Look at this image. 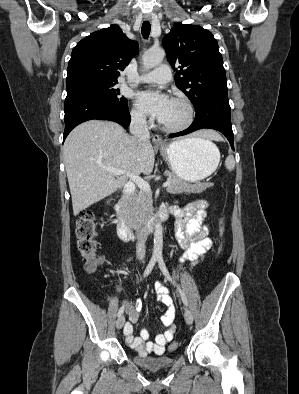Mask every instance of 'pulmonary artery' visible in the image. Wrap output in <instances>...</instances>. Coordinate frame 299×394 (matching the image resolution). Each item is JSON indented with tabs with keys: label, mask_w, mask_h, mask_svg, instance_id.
<instances>
[{
	"label": "pulmonary artery",
	"mask_w": 299,
	"mask_h": 394,
	"mask_svg": "<svg viewBox=\"0 0 299 394\" xmlns=\"http://www.w3.org/2000/svg\"><path fill=\"white\" fill-rule=\"evenodd\" d=\"M171 80V71L167 65H160L153 71L139 77V82L166 84Z\"/></svg>",
	"instance_id": "obj_1"
}]
</instances>
